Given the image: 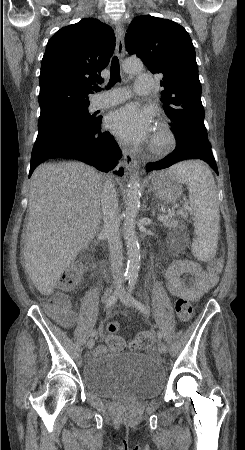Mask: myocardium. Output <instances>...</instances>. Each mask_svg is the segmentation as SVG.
I'll return each mask as SVG.
<instances>
[{
  "instance_id": "obj_1",
  "label": "myocardium",
  "mask_w": 245,
  "mask_h": 450,
  "mask_svg": "<svg viewBox=\"0 0 245 450\" xmlns=\"http://www.w3.org/2000/svg\"><path fill=\"white\" fill-rule=\"evenodd\" d=\"M176 143V135L169 123L164 120L158 121L150 144V151L155 155H161L171 151Z\"/></svg>"
}]
</instances>
